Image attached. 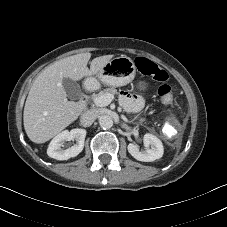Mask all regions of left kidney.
I'll list each match as a JSON object with an SVG mask.
<instances>
[{
    "instance_id": "left-kidney-1",
    "label": "left kidney",
    "mask_w": 227,
    "mask_h": 227,
    "mask_svg": "<svg viewBox=\"0 0 227 227\" xmlns=\"http://www.w3.org/2000/svg\"><path fill=\"white\" fill-rule=\"evenodd\" d=\"M144 142V151L139 150V146L136 144L130 143L128 145V152L138 161L142 162H152L156 159H159L163 156V145L160 139L155 135L145 134L143 138Z\"/></svg>"
}]
</instances>
